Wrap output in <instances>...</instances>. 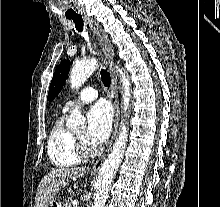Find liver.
<instances>
[{"label":"liver","instance_id":"6515ba94","mask_svg":"<svg viewBox=\"0 0 220 207\" xmlns=\"http://www.w3.org/2000/svg\"><path fill=\"white\" fill-rule=\"evenodd\" d=\"M86 173V167L58 168L47 173L40 181L34 207H46L61 188L68 186Z\"/></svg>","mask_w":220,"mask_h":207}]
</instances>
